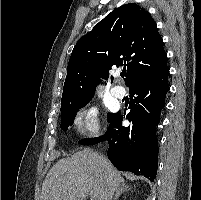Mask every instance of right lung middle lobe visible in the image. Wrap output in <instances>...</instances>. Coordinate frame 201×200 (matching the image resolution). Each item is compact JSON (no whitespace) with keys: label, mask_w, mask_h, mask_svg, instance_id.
<instances>
[{"label":"right lung middle lobe","mask_w":201,"mask_h":200,"mask_svg":"<svg viewBox=\"0 0 201 200\" xmlns=\"http://www.w3.org/2000/svg\"><path fill=\"white\" fill-rule=\"evenodd\" d=\"M93 95H88L82 98L61 101V125L60 128L66 131L70 125L73 124L77 111L84 107L92 98ZM111 113L108 114V118Z\"/></svg>","instance_id":"obj_1"}]
</instances>
